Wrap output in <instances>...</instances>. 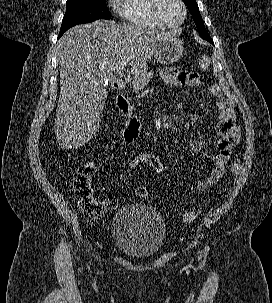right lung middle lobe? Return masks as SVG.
Listing matches in <instances>:
<instances>
[{
    "label": "right lung middle lobe",
    "instance_id": "dd1d6c3e",
    "mask_svg": "<svg viewBox=\"0 0 272 303\" xmlns=\"http://www.w3.org/2000/svg\"><path fill=\"white\" fill-rule=\"evenodd\" d=\"M66 5L67 9L59 34H63L77 24L111 18L106 0H67Z\"/></svg>",
    "mask_w": 272,
    "mask_h": 303
}]
</instances>
